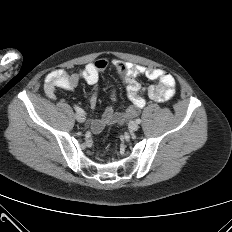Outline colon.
Returning a JSON list of instances; mask_svg holds the SVG:
<instances>
[{
	"instance_id": "obj_1",
	"label": "colon",
	"mask_w": 232,
	"mask_h": 232,
	"mask_svg": "<svg viewBox=\"0 0 232 232\" xmlns=\"http://www.w3.org/2000/svg\"><path fill=\"white\" fill-rule=\"evenodd\" d=\"M133 109H128L127 112H122L117 116L118 122L116 123L117 129H122L131 116L134 115ZM130 116V117H129Z\"/></svg>"
}]
</instances>
